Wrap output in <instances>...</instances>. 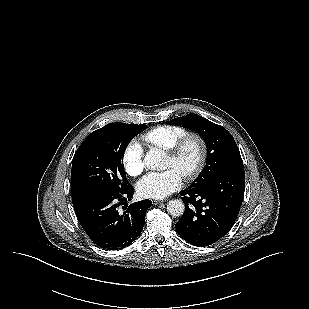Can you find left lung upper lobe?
Wrapping results in <instances>:
<instances>
[{
	"instance_id": "5c2ea615",
	"label": "left lung upper lobe",
	"mask_w": 309,
	"mask_h": 309,
	"mask_svg": "<svg viewBox=\"0 0 309 309\" xmlns=\"http://www.w3.org/2000/svg\"><path fill=\"white\" fill-rule=\"evenodd\" d=\"M168 124L182 125L202 136L207 147V162L199 176L189 187H195L212 177L235 169H244L240 151L232 135L219 126L197 114L178 117Z\"/></svg>"
}]
</instances>
